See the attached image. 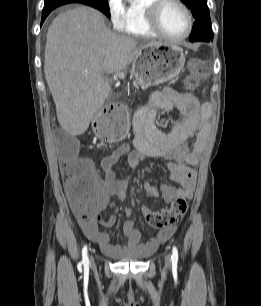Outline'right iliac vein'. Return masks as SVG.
Returning <instances> with one entry per match:
<instances>
[{
	"mask_svg": "<svg viewBox=\"0 0 261 306\" xmlns=\"http://www.w3.org/2000/svg\"><path fill=\"white\" fill-rule=\"evenodd\" d=\"M90 265H91L92 268H94V266H95L93 256L90 257Z\"/></svg>",
	"mask_w": 261,
	"mask_h": 306,
	"instance_id": "obj_1",
	"label": "right iliac vein"
}]
</instances>
